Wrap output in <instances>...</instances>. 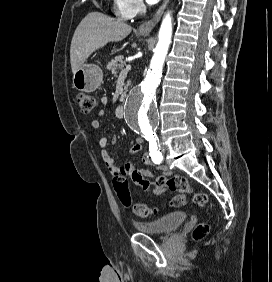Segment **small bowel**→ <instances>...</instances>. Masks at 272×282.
<instances>
[{
  "mask_svg": "<svg viewBox=\"0 0 272 282\" xmlns=\"http://www.w3.org/2000/svg\"><path fill=\"white\" fill-rule=\"evenodd\" d=\"M101 102L103 104L107 103V99L105 97H103L101 99ZM104 114L103 111H101L98 116L96 118H94L91 121V126L93 128H99L100 127V117ZM108 139L107 138H101L99 141V145L101 147V155H102V159L104 161V163L106 164L107 167H109L112 170H116L115 169V164H116V159L115 157L110 154V152L107 150V146H108ZM110 143L112 145H115L117 143V139L115 137H113L110 141ZM139 152H143L142 155V161L145 165H153L152 162V158H151V154L145 150V142L141 139V138H137L135 140V143L132 145L131 149H130V154L133 157L134 155H136ZM132 165H133V158H131L127 163H126V167L129 169V174H131V170H132ZM158 169L166 176L170 175V170L169 168L165 167V166H158ZM141 174H143L144 176L148 177L150 179V182L148 183V185L144 186V187H140L143 190H151L154 194H161L166 190V186L163 184H159L157 182L154 181V178H152V172L150 170H143L141 171Z\"/></svg>",
  "mask_w": 272,
  "mask_h": 282,
  "instance_id": "obj_1",
  "label": "small bowel"
}]
</instances>
